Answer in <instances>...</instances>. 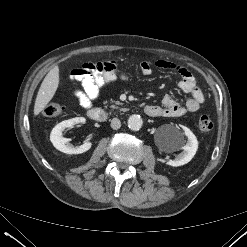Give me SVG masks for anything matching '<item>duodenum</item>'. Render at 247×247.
<instances>
[{
	"label": "duodenum",
	"instance_id": "duodenum-1",
	"mask_svg": "<svg viewBox=\"0 0 247 247\" xmlns=\"http://www.w3.org/2000/svg\"><path fill=\"white\" fill-rule=\"evenodd\" d=\"M144 111L148 116H152V114L154 113L152 106H146L144 108ZM87 115L90 119L96 122H104L108 118V114L106 113V111L101 108H91L87 111Z\"/></svg>",
	"mask_w": 247,
	"mask_h": 247
}]
</instances>
